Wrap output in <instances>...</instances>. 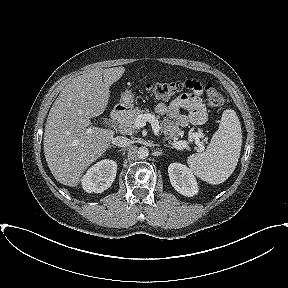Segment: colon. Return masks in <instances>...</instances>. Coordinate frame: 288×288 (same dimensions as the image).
I'll return each instance as SVG.
<instances>
[{"label":"colon","mask_w":288,"mask_h":288,"mask_svg":"<svg viewBox=\"0 0 288 288\" xmlns=\"http://www.w3.org/2000/svg\"><path fill=\"white\" fill-rule=\"evenodd\" d=\"M190 80H180L175 82H163V83H150L147 85V92L155 98L169 99L187 88L192 87ZM205 91L208 104L212 107H219L224 103L223 95L216 90L213 85L206 84Z\"/></svg>","instance_id":"1"}]
</instances>
